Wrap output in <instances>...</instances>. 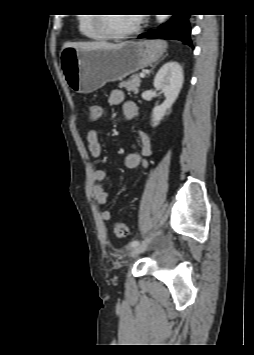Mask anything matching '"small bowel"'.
Here are the masks:
<instances>
[{
  "label": "small bowel",
  "mask_w": 254,
  "mask_h": 355,
  "mask_svg": "<svg viewBox=\"0 0 254 355\" xmlns=\"http://www.w3.org/2000/svg\"><path fill=\"white\" fill-rule=\"evenodd\" d=\"M109 103L112 105H123V112L128 119H132L137 114V105L133 101H125V94L122 90L114 89L110 92ZM100 128H92L88 131L86 139L88 149L91 155L95 158L102 156V145L99 139ZM134 151L129 153L124 159V166L131 171H134L138 166L142 165L148 168L147 158L152 154L151 141L149 137L143 132L136 133V140L134 143ZM108 177V170L104 168H94L92 170V196L98 205H105L108 200V193L103 186L98 184ZM128 195V194H127ZM103 220L111 219V212L103 210L101 212Z\"/></svg>",
  "instance_id": "small-bowel-1"
}]
</instances>
